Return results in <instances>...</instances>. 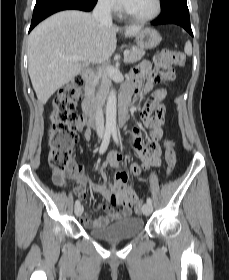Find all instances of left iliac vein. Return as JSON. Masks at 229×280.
I'll list each match as a JSON object with an SVG mask.
<instances>
[{"instance_id":"4c4485c4","label":"left iliac vein","mask_w":229,"mask_h":280,"mask_svg":"<svg viewBox=\"0 0 229 280\" xmlns=\"http://www.w3.org/2000/svg\"><path fill=\"white\" fill-rule=\"evenodd\" d=\"M142 212H143V214L144 215H150L151 214V212H152V205L151 204H148V203H146V204H144L143 205V208H142Z\"/></svg>"}]
</instances>
